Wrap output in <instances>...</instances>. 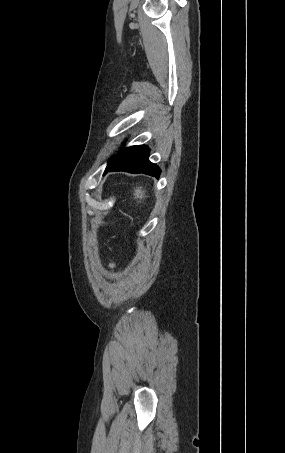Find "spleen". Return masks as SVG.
I'll use <instances>...</instances> for the list:
<instances>
[{
  "instance_id": "3e777b00",
  "label": "spleen",
  "mask_w": 285,
  "mask_h": 453,
  "mask_svg": "<svg viewBox=\"0 0 285 453\" xmlns=\"http://www.w3.org/2000/svg\"><path fill=\"white\" fill-rule=\"evenodd\" d=\"M134 196H135V199H140L142 200L143 198H145V191L142 190V187H137L135 190H134Z\"/></svg>"
}]
</instances>
